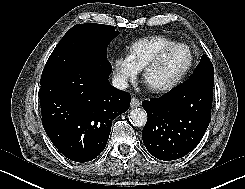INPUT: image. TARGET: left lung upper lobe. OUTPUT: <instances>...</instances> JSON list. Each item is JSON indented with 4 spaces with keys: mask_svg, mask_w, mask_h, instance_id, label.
<instances>
[{
    "mask_svg": "<svg viewBox=\"0 0 245 189\" xmlns=\"http://www.w3.org/2000/svg\"><path fill=\"white\" fill-rule=\"evenodd\" d=\"M192 78H202L214 82L213 65L205 54L202 55L194 73L190 76V79Z\"/></svg>",
    "mask_w": 245,
    "mask_h": 189,
    "instance_id": "obj_1",
    "label": "left lung upper lobe"
}]
</instances>
